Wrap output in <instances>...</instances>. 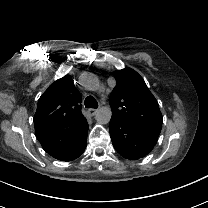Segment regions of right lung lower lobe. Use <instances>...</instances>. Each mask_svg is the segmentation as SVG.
<instances>
[{
	"label": "right lung lower lobe",
	"instance_id": "obj_1",
	"mask_svg": "<svg viewBox=\"0 0 208 208\" xmlns=\"http://www.w3.org/2000/svg\"><path fill=\"white\" fill-rule=\"evenodd\" d=\"M88 123L85 118L60 132L37 135L43 149L61 161L78 158L86 148Z\"/></svg>",
	"mask_w": 208,
	"mask_h": 208
}]
</instances>
